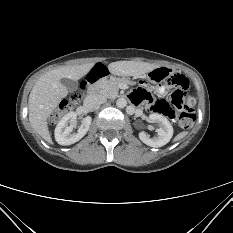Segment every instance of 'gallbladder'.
<instances>
[{"mask_svg": "<svg viewBox=\"0 0 233 233\" xmlns=\"http://www.w3.org/2000/svg\"><path fill=\"white\" fill-rule=\"evenodd\" d=\"M61 83L66 87V89L70 92H73L77 90L78 88V82L76 80L68 79V78H62Z\"/></svg>", "mask_w": 233, "mask_h": 233, "instance_id": "1", "label": "gallbladder"}]
</instances>
